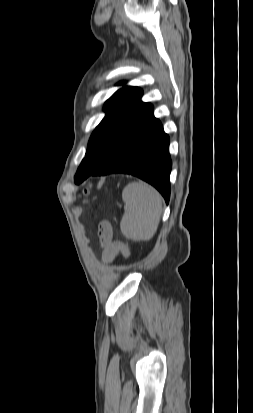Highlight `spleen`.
Here are the masks:
<instances>
[{
	"instance_id": "obj_1",
	"label": "spleen",
	"mask_w": 253,
	"mask_h": 413,
	"mask_svg": "<svg viewBox=\"0 0 253 413\" xmlns=\"http://www.w3.org/2000/svg\"><path fill=\"white\" fill-rule=\"evenodd\" d=\"M125 213L120 223L123 235L134 241H148L157 231L162 214V196L144 182L128 184L122 192Z\"/></svg>"
}]
</instances>
